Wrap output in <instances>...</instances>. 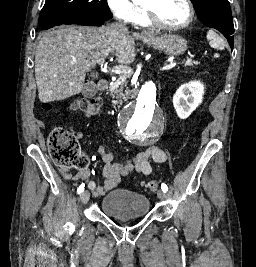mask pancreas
<instances>
[{"label":"pancreas","mask_w":256,"mask_h":267,"mask_svg":"<svg viewBox=\"0 0 256 267\" xmlns=\"http://www.w3.org/2000/svg\"><path fill=\"white\" fill-rule=\"evenodd\" d=\"M185 66H196V64H194L192 60H187V62H185ZM122 76H124L125 82H120V84H118V82H115V84L109 86V92H111V96H113V98H116V96H118V98H123L124 102H126V100H130V94H138V92L127 90V84L129 78H131V74H122ZM112 102L113 104H118V102L119 104H121L122 100H112Z\"/></svg>","instance_id":"cf45deb5"}]
</instances>
